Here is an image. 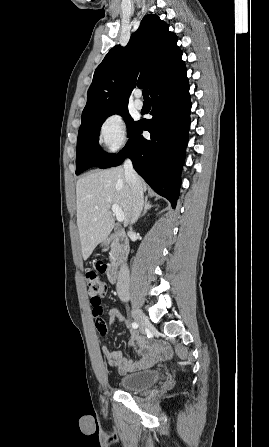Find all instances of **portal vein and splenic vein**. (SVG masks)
<instances>
[{
	"mask_svg": "<svg viewBox=\"0 0 269 447\" xmlns=\"http://www.w3.org/2000/svg\"><path fill=\"white\" fill-rule=\"evenodd\" d=\"M112 212H113V214H115L118 222H123L124 212H122L121 208H119V206H117V204H113Z\"/></svg>",
	"mask_w": 269,
	"mask_h": 447,
	"instance_id": "18ae733b",
	"label": "portal vein and splenic vein"
}]
</instances>
